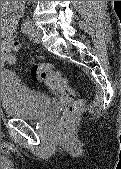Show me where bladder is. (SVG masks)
<instances>
[{"instance_id":"bladder-1","label":"bladder","mask_w":121,"mask_h":169,"mask_svg":"<svg viewBox=\"0 0 121 169\" xmlns=\"http://www.w3.org/2000/svg\"><path fill=\"white\" fill-rule=\"evenodd\" d=\"M1 104L7 117L22 120H38L48 114L51 99L26 84L14 73H1Z\"/></svg>"}]
</instances>
